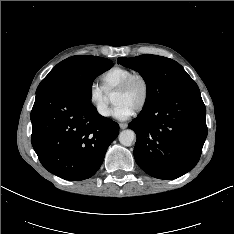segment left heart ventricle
<instances>
[{
	"label": "left heart ventricle",
	"mask_w": 234,
	"mask_h": 234,
	"mask_svg": "<svg viewBox=\"0 0 234 234\" xmlns=\"http://www.w3.org/2000/svg\"><path fill=\"white\" fill-rule=\"evenodd\" d=\"M144 94V88L140 81H135L132 86L124 93H114L112 101L115 105L124 104L133 111L141 103Z\"/></svg>",
	"instance_id": "obj_1"
}]
</instances>
